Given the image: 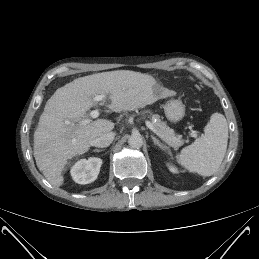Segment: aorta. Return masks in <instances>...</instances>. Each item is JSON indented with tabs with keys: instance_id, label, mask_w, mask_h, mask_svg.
I'll list each match as a JSON object with an SVG mask.
<instances>
[{
	"instance_id": "1",
	"label": "aorta",
	"mask_w": 259,
	"mask_h": 259,
	"mask_svg": "<svg viewBox=\"0 0 259 259\" xmlns=\"http://www.w3.org/2000/svg\"><path fill=\"white\" fill-rule=\"evenodd\" d=\"M128 144L132 148L139 149L143 145V138L140 134H132L128 139Z\"/></svg>"
}]
</instances>
